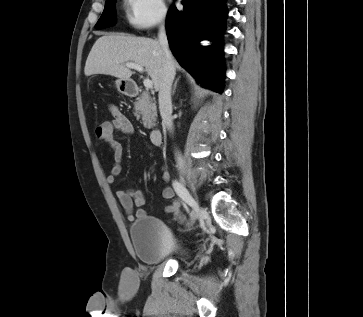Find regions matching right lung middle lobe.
<instances>
[{
  "label": "right lung middle lobe",
  "mask_w": 363,
  "mask_h": 317,
  "mask_svg": "<svg viewBox=\"0 0 363 317\" xmlns=\"http://www.w3.org/2000/svg\"><path fill=\"white\" fill-rule=\"evenodd\" d=\"M116 0H106L104 11L95 25L96 29L107 28L115 24V7Z\"/></svg>",
  "instance_id": "1"
}]
</instances>
